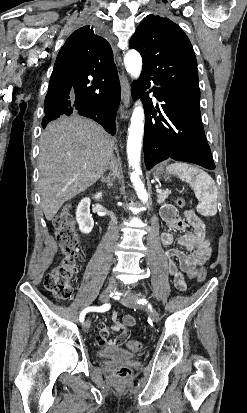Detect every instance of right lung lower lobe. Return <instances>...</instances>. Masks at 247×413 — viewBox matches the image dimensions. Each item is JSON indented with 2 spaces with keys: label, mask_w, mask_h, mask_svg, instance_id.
I'll return each instance as SVG.
<instances>
[{
  "label": "right lung lower lobe",
  "mask_w": 247,
  "mask_h": 413,
  "mask_svg": "<svg viewBox=\"0 0 247 413\" xmlns=\"http://www.w3.org/2000/svg\"><path fill=\"white\" fill-rule=\"evenodd\" d=\"M120 95L117 70L90 76L72 72L52 73L44 102L42 127L61 115L79 114L95 120L114 135Z\"/></svg>",
  "instance_id": "right-lung-lower-lobe-1"
}]
</instances>
